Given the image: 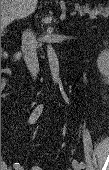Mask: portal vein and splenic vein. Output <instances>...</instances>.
Returning <instances> with one entry per match:
<instances>
[{
  "label": "portal vein and splenic vein",
  "instance_id": "18ae733b",
  "mask_svg": "<svg viewBox=\"0 0 109 170\" xmlns=\"http://www.w3.org/2000/svg\"><path fill=\"white\" fill-rule=\"evenodd\" d=\"M2 13H3V14H6V11L3 9V10H2ZM75 14H76L75 11H73V12L71 13V15H75ZM60 19L63 20V19H64V15H61V16H60Z\"/></svg>",
  "mask_w": 109,
  "mask_h": 170
}]
</instances>
